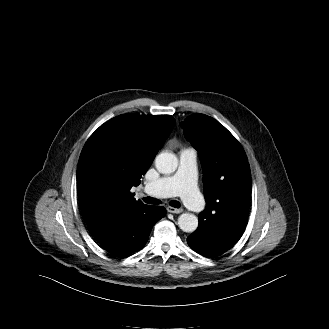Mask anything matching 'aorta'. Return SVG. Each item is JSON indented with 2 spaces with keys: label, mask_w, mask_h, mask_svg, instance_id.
I'll return each instance as SVG.
<instances>
[{
  "label": "aorta",
  "mask_w": 329,
  "mask_h": 329,
  "mask_svg": "<svg viewBox=\"0 0 329 329\" xmlns=\"http://www.w3.org/2000/svg\"><path fill=\"white\" fill-rule=\"evenodd\" d=\"M155 166L158 172L171 174L177 169L178 159L173 153L162 152L155 158ZM178 226L184 232H194L198 227V218L194 214L183 213L178 218Z\"/></svg>",
  "instance_id": "obj_1"
}]
</instances>
